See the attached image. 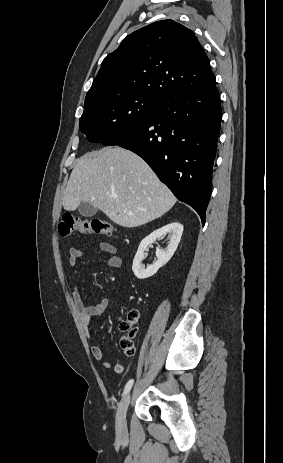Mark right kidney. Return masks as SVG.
Returning <instances> with one entry per match:
<instances>
[{"label":"right kidney","instance_id":"obj_1","mask_svg":"<svg viewBox=\"0 0 283 463\" xmlns=\"http://www.w3.org/2000/svg\"><path fill=\"white\" fill-rule=\"evenodd\" d=\"M182 233L183 225L178 222H173L155 230L149 236L144 238L141 241L133 260L132 270L134 275L138 279H146L148 277L153 276L159 268L164 266L171 259L178 247ZM165 234H168L170 238L167 250L164 251L157 248V261L153 265H148L147 268H145L144 265H142V261L144 259V251L146 250L148 245L154 243L157 238Z\"/></svg>","mask_w":283,"mask_h":463}]
</instances>
